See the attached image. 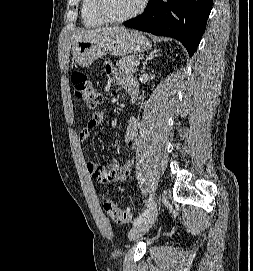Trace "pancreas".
I'll return each instance as SVG.
<instances>
[{"label":"pancreas","instance_id":"obj_1","mask_svg":"<svg viewBox=\"0 0 253 271\" xmlns=\"http://www.w3.org/2000/svg\"><path fill=\"white\" fill-rule=\"evenodd\" d=\"M135 61H137L135 55L125 56L117 61L116 66L125 72L133 74L137 70V67L134 65Z\"/></svg>","mask_w":253,"mask_h":271}]
</instances>
